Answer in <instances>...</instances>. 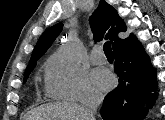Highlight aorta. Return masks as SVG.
I'll use <instances>...</instances> for the list:
<instances>
[{
	"instance_id": "obj_1",
	"label": "aorta",
	"mask_w": 165,
	"mask_h": 120,
	"mask_svg": "<svg viewBox=\"0 0 165 120\" xmlns=\"http://www.w3.org/2000/svg\"><path fill=\"white\" fill-rule=\"evenodd\" d=\"M61 57L70 67H76L79 64L81 59V43L76 34L69 38L62 46Z\"/></svg>"
}]
</instances>
